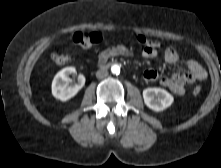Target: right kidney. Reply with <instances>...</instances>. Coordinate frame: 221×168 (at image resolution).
Segmentation results:
<instances>
[{
    "label": "right kidney",
    "mask_w": 221,
    "mask_h": 168,
    "mask_svg": "<svg viewBox=\"0 0 221 168\" xmlns=\"http://www.w3.org/2000/svg\"><path fill=\"white\" fill-rule=\"evenodd\" d=\"M74 67H66L56 74L52 82V94L56 99L67 101L74 97L85 84V77L78 76L77 83L70 84L69 74L74 73Z\"/></svg>",
    "instance_id": "right-kidney-1"
}]
</instances>
